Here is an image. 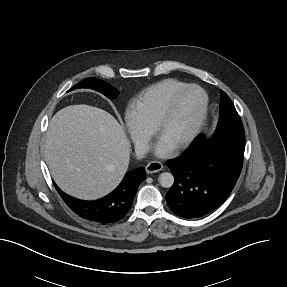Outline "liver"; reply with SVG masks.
<instances>
[{"mask_svg": "<svg viewBox=\"0 0 287 287\" xmlns=\"http://www.w3.org/2000/svg\"><path fill=\"white\" fill-rule=\"evenodd\" d=\"M43 150L56 184L85 200L111 192L130 160L123 127L110 113L89 105H70L58 111L49 122Z\"/></svg>", "mask_w": 287, "mask_h": 287, "instance_id": "liver-1", "label": "liver"}]
</instances>
